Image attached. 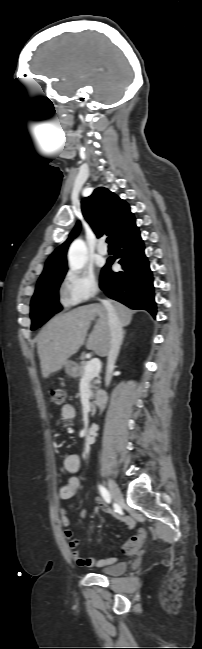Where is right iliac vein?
I'll return each mask as SVG.
<instances>
[{"instance_id":"63e3f726","label":"right iliac vein","mask_w":202,"mask_h":649,"mask_svg":"<svg viewBox=\"0 0 202 649\" xmlns=\"http://www.w3.org/2000/svg\"><path fill=\"white\" fill-rule=\"evenodd\" d=\"M108 488L110 491L111 498L116 502L117 504L121 505L123 503V496L117 487L116 483L112 479L107 480Z\"/></svg>"}]
</instances>
